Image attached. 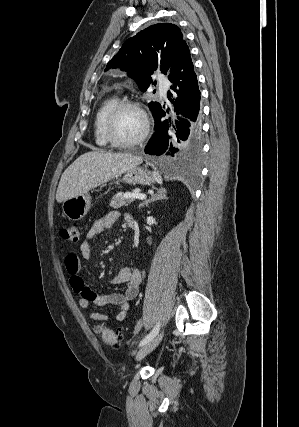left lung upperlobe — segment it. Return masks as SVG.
Masks as SVG:
<instances>
[{
  "mask_svg": "<svg viewBox=\"0 0 299 427\" xmlns=\"http://www.w3.org/2000/svg\"><path fill=\"white\" fill-rule=\"evenodd\" d=\"M183 41L180 28L171 23L152 25L124 42L119 52L108 62L105 71L120 68L133 77L141 91L146 92L155 70L168 71ZM157 102H150L153 112Z\"/></svg>",
  "mask_w": 299,
  "mask_h": 427,
  "instance_id": "1",
  "label": "left lung upper lobe"
}]
</instances>
